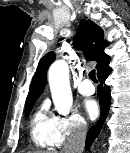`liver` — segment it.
Instances as JSON below:
<instances>
[{
    "instance_id": "6515ba94",
    "label": "liver",
    "mask_w": 130,
    "mask_h": 153,
    "mask_svg": "<svg viewBox=\"0 0 130 153\" xmlns=\"http://www.w3.org/2000/svg\"><path fill=\"white\" fill-rule=\"evenodd\" d=\"M34 153H42V152H34Z\"/></svg>"
}]
</instances>
